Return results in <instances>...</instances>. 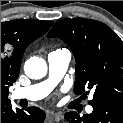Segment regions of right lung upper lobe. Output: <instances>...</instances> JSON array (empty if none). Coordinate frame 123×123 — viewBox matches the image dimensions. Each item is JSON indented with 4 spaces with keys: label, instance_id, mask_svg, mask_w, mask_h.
Here are the masks:
<instances>
[{
    "label": "right lung upper lobe",
    "instance_id": "1",
    "mask_svg": "<svg viewBox=\"0 0 123 123\" xmlns=\"http://www.w3.org/2000/svg\"><path fill=\"white\" fill-rule=\"evenodd\" d=\"M52 24L27 19L1 22V100L8 99L9 87L18 78L27 46L45 34Z\"/></svg>",
    "mask_w": 123,
    "mask_h": 123
}]
</instances>
